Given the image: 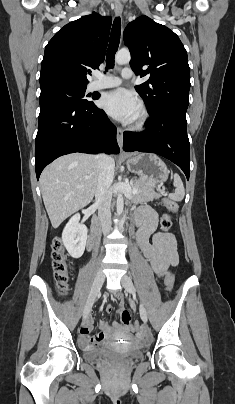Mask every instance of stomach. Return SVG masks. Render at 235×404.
Returning a JSON list of instances; mask_svg holds the SVG:
<instances>
[{"label": "stomach", "mask_w": 235, "mask_h": 404, "mask_svg": "<svg viewBox=\"0 0 235 404\" xmlns=\"http://www.w3.org/2000/svg\"><path fill=\"white\" fill-rule=\"evenodd\" d=\"M130 172L138 175L139 179L147 182L151 187L162 185L169 175L166 164L155 154H130L126 160Z\"/></svg>", "instance_id": "0dacf381"}]
</instances>
